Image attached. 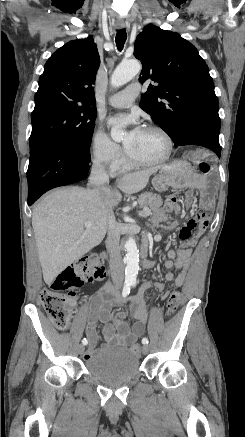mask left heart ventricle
<instances>
[{"label": "left heart ventricle", "instance_id": "1", "mask_svg": "<svg viewBox=\"0 0 245 437\" xmlns=\"http://www.w3.org/2000/svg\"><path fill=\"white\" fill-rule=\"evenodd\" d=\"M124 142L130 155L137 159H156L165 151V141L155 131L142 129L135 140L130 142L129 135H127Z\"/></svg>", "mask_w": 245, "mask_h": 437}]
</instances>
